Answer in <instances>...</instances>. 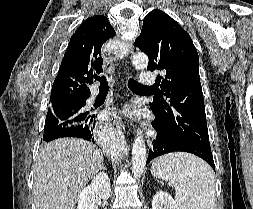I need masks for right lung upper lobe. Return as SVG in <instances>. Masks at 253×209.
Returning a JSON list of instances; mask_svg holds the SVG:
<instances>
[{
	"label": "right lung upper lobe",
	"mask_w": 253,
	"mask_h": 209,
	"mask_svg": "<svg viewBox=\"0 0 253 209\" xmlns=\"http://www.w3.org/2000/svg\"><path fill=\"white\" fill-rule=\"evenodd\" d=\"M114 35L115 30L102 15L88 18L78 27L53 83L49 110L85 103L90 96L88 84L103 72L101 47Z\"/></svg>",
	"instance_id": "obj_1"
}]
</instances>
